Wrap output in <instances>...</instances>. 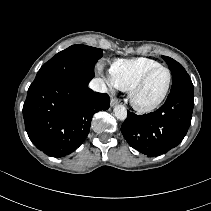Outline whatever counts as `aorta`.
<instances>
[{
	"label": "aorta",
	"instance_id": "aorta-1",
	"mask_svg": "<svg viewBox=\"0 0 211 211\" xmlns=\"http://www.w3.org/2000/svg\"><path fill=\"white\" fill-rule=\"evenodd\" d=\"M113 112L115 117L119 120H125L127 117V109L123 105H116Z\"/></svg>",
	"mask_w": 211,
	"mask_h": 211
}]
</instances>
